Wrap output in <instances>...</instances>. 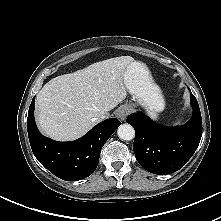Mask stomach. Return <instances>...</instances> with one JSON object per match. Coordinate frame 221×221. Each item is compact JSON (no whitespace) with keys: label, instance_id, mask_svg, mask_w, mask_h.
Listing matches in <instances>:
<instances>
[{"label":"stomach","instance_id":"1","mask_svg":"<svg viewBox=\"0 0 221 221\" xmlns=\"http://www.w3.org/2000/svg\"><path fill=\"white\" fill-rule=\"evenodd\" d=\"M125 86L133 99L146 108L152 118L165 107V101L159 87L153 83L147 67L133 61L130 63L124 76Z\"/></svg>","mask_w":221,"mask_h":221}]
</instances>
